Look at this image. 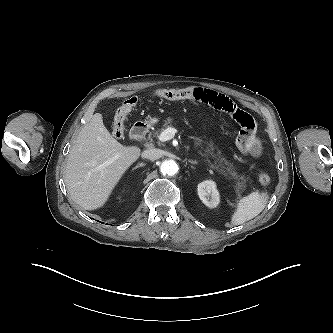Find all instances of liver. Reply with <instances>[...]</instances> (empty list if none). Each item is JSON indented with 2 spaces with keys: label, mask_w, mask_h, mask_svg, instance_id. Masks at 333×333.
I'll list each match as a JSON object with an SVG mask.
<instances>
[{
  "label": "liver",
  "mask_w": 333,
  "mask_h": 333,
  "mask_svg": "<svg viewBox=\"0 0 333 333\" xmlns=\"http://www.w3.org/2000/svg\"><path fill=\"white\" fill-rule=\"evenodd\" d=\"M141 149L115 140L95 113L82 128L65 167V183L72 200L86 210L102 207ZM117 158L110 162V160Z\"/></svg>",
  "instance_id": "6515ba94"
}]
</instances>
